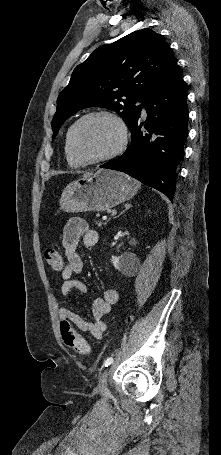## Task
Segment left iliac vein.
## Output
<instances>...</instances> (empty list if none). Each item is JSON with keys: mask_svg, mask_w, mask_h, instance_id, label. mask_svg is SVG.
<instances>
[{"mask_svg": "<svg viewBox=\"0 0 221 455\" xmlns=\"http://www.w3.org/2000/svg\"><path fill=\"white\" fill-rule=\"evenodd\" d=\"M108 373L109 369H106L99 378L97 389L101 393H104L107 390Z\"/></svg>", "mask_w": 221, "mask_h": 455, "instance_id": "obj_1", "label": "left iliac vein"}]
</instances>
